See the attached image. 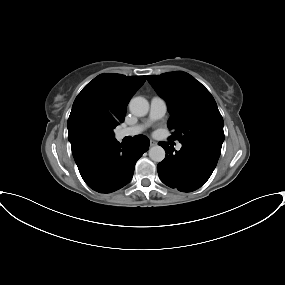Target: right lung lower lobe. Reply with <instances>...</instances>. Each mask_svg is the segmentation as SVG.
Segmentation results:
<instances>
[{"instance_id": "obj_1", "label": "right lung lower lobe", "mask_w": 285, "mask_h": 285, "mask_svg": "<svg viewBox=\"0 0 285 285\" xmlns=\"http://www.w3.org/2000/svg\"><path fill=\"white\" fill-rule=\"evenodd\" d=\"M148 148V138L138 135L125 146L116 139L89 144L73 152V156L83 180L91 189L111 193L132 179L137 160Z\"/></svg>"}]
</instances>
